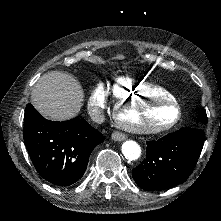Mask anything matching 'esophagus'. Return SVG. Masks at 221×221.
I'll list each match as a JSON object with an SVG mask.
<instances>
[{
	"mask_svg": "<svg viewBox=\"0 0 221 221\" xmlns=\"http://www.w3.org/2000/svg\"><path fill=\"white\" fill-rule=\"evenodd\" d=\"M112 140L114 141H123L126 139V135L121 132H113L111 135Z\"/></svg>",
	"mask_w": 221,
	"mask_h": 221,
	"instance_id": "obj_1",
	"label": "esophagus"
}]
</instances>
